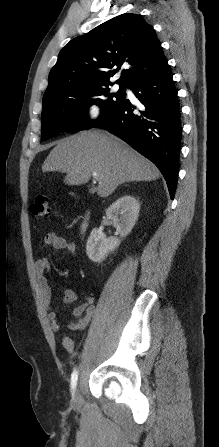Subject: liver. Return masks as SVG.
<instances>
[{"label": "liver", "mask_w": 219, "mask_h": 447, "mask_svg": "<svg viewBox=\"0 0 219 447\" xmlns=\"http://www.w3.org/2000/svg\"><path fill=\"white\" fill-rule=\"evenodd\" d=\"M43 172L66 173L64 183L82 185L97 173V194L108 197L122 183L152 181L157 167L125 142L102 130L83 131L57 142L42 165Z\"/></svg>", "instance_id": "liver-1"}]
</instances>
